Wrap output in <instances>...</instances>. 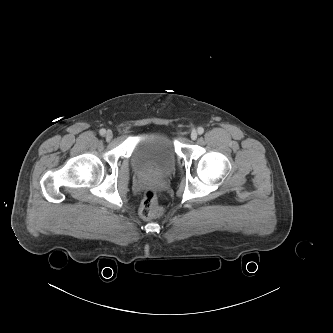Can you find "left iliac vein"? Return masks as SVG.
<instances>
[{"label": "left iliac vein", "mask_w": 333, "mask_h": 333, "mask_svg": "<svg viewBox=\"0 0 333 333\" xmlns=\"http://www.w3.org/2000/svg\"><path fill=\"white\" fill-rule=\"evenodd\" d=\"M190 137H191L192 140H196V138H197V132H196L195 130H193V131L191 132Z\"/></svg>", "instance_id": "1"}]
</instances>
